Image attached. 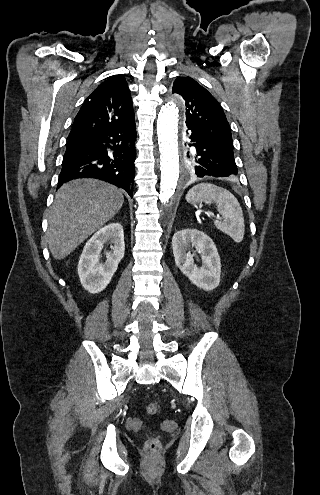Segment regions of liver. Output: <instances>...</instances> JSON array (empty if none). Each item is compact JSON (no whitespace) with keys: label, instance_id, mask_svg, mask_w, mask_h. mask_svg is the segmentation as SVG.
Here are the masks:
<instances>
[{"label":"liver","instance_id":"1","mask_svg":"<svg viewBox=\"0 0 320 495\" xmlns=\"http://www.w3.org/2000/svg\"><path fill=\"white\" fill-rule=\"evenodd\" d=\"M120 189L94 179L64 183L55 195L46 239L55 259H63L121 209Z\"/></svg>","mask_w":320,"mask_h":495}]
</instances>
